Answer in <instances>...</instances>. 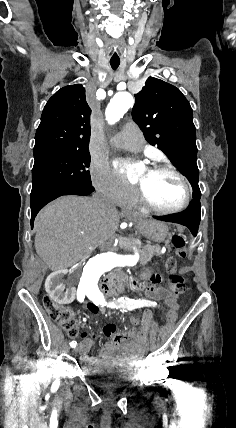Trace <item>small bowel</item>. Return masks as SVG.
<instances>
[{
    "mask_svg": "<svg viewBox=\"0 0 236 428\" xmlns=\"http://www.w3.org/2000/svg\"><path fill=\"white\" fill-rule=\"evenodd\" d=\"M159 277L152 276L146 283H135L136 290H143L147 296L148 307L156 308L158 301L164 300L168 306H176L177 299L163 287L158 286ZM101 313H105L106 308H98ZM152 314L147 311L143 318L142 328L138 331L126 329L119 331L115 325L107 324L103 328V335L110 338L100 350V356L90 355L93 345V338L89 337L86 332H80L82 362L89 366H96L100 361L107 359L120 360H138L142 357L146 334Z\"/></svg>",
    "mask_w": 236,
    "mask_h": 428,
    "instance_id": "1",
    "label": "small bowel"
}]
</instances>
